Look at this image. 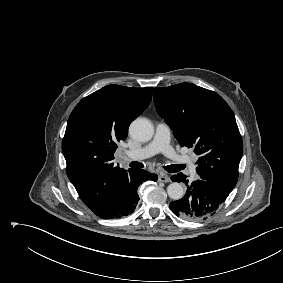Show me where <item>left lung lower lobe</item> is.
Segmentation results:
<instances>
[{
	"label": "left lung lower lobe",
	"mask_w": 283,
	"mask_h": 283,
	"mask_svg": "<svg viewBox=\"0 0 283 283\" xmlns=\"http://www.w3.org/2000/svg\"><path fill=\"white\" fill-rule=\"evenodd\" d=\"M186 178L182 173L171 177L173 182H183L188 186ZM229 193L230 191L217 184L198 179L188 186L185 196L171 202L169 208L182 219L203 220L216 213Z\"/></svg>",
	"instance_id": "obj_1"
}]
</instances>
